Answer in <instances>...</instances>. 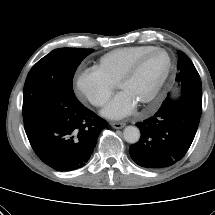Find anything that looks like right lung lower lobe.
<instances>
[{
    "mask_svg": "<svg viewBox=\"0 0 215 215\" xmlns=\"http://www.w3.org/2000/svg\"><path fill=\"white\" fill-rule=\"evenodd\" d=\"M107 122L82 104L66 108L27 132L37 156L57 171L75 170L89 160Z\"/></svg>",
    "mask_w": 215,
    "mask_h": 215,
    "instance_id": "right-lung-lower-lobe-1",
    "label": "right lung lower lobe"
}]
</instances>
